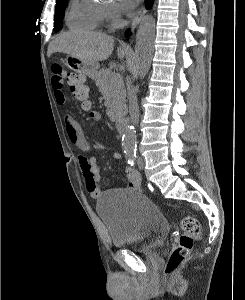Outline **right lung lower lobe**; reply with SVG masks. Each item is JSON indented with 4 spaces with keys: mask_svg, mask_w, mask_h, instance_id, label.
Wrapping results in <instances>:
<instances>
[{
    "mask_svg": "<svg viewBox=\"0 0 245 300\" xmlns=\"http://www.w3.org/2000/svg\"><path fill=\"white\" fill-rule=\"evenodd\" d=\"M153 1L154 0H146L145 6L147 9L151 8V6L153 5Z\"/></svg>",
    "mask_w": 245,
    "mask_h": 300,
    "instance_id": "obj_1",
    "label": "right lung lower lobe"
}]
</instances>
